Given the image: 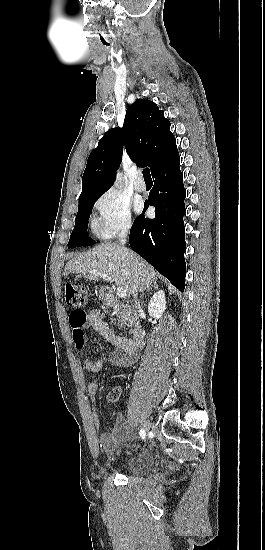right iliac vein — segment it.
<instances>
[{"label":"right iliac vein","mask_w":265,"mask_h":550,"mask_svg":"<svg viewBox=\"0 0 265 550\" xmlns=\"http://www.w3.org/2000/svg\"><path fill=\"white\" fill-rule=\"evenodd\" d=\"M151 428V422L149 420H146L144 423H143V430L145 432H148Z\"/></svg>","instance_id":"63e3f726"}]
</instances>
